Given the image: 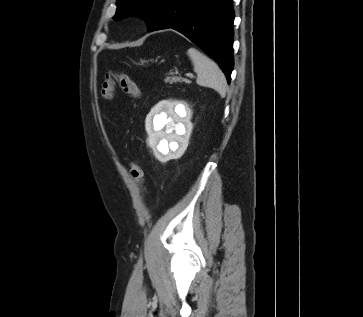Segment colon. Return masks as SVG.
<instances>
[{
    "label": "colon",
    "instance_id": "1",
    "mask_svg": "<svg viewBox=\"0 0 363 317\" xmlns=\"http://www.w3.org/2000/svg\"><path fill=\"white\" fill-rule=\"evenodd\" d=\"M119 84L125 94L131 98H137L140 91L135 81L125 73L110 71L102 84L101 93L105 99H112L115 84ZM131 177L139 184L144 181V171L138 163H132L130 166Z\"/></svg>",
    "mask_w": 363,
    "mask_h": 317
}]
</instances>
